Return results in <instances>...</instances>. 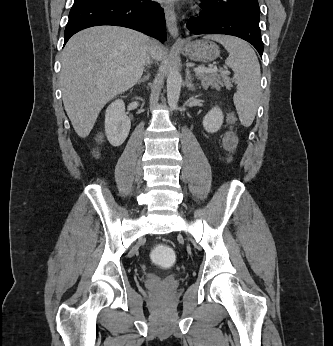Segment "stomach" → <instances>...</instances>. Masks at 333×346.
<instances>
[{
	"label": "stomach",
	"mask_w": 333,
	"mask_h": 346,
	"mask_svg": "<svg viewBox=\"0 0 333 346\" xmlns=\"http://www.w3.org/2000/svg\"><path fill=\"white\" fill-rule=\"evenodd\" d=\"M182 52L191 60L199 62H211L220 54L218 45L209 40L187 42L182 46Z\"/></svg>",
	"instance_id": "stomach-1"
}]
</instances>
